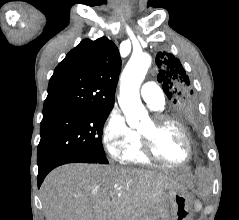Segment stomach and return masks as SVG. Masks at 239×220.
Here are the masks:
<instances>
[{"label":"stomach","mask_w":239,"mask_h":220,"mask_svg":"<svg viewBox=\"0 0 239 220\" xmlns=\"http://www.w3.org/2000/svg\"><path fill=\"white\" fill-rule=\"evenodd\" d=\"M166 198L171 208L172 220H190L192 198L184 188L169 189Z\"/></svg>","instance_id":"obj_1"}]
</instances>
